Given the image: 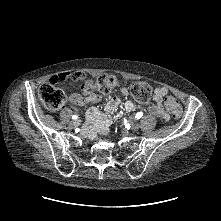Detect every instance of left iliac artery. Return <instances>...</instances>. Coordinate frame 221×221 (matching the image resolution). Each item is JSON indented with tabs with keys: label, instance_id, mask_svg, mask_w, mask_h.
<instances>
[{
	"label": "left iliac artery",
	"instance_id": "44dca946",
	"mask_svg": "<svg viewBox=\"0 0 221 221\" xmlns=\"http://www.w3.org/2000/svg\"><path fill=\"white\" fill-rule=\"evenodd\" d=\"M142 116H143V113L139 112V113L136 114L135 118L140 119Z\"/></svg>",
	"mask_w": 221,
	"mask_h": 221
}]
</instances>
